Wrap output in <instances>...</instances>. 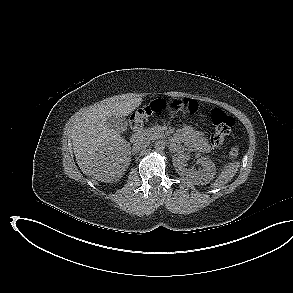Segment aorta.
<instances>
[{"label":"aorta","mask_w":293,"mask_h":293,"mask_svg":"<svg viewBox=\"0 0 293 293\" xmlns=\"http://www.w3.org/2000/svg\"><path fill=\"white\" fill-rule=\"evenodd\" d=\"M164 148H165V143H164V141L159 140V141H156V142H155V149H156L157 151H162V150H164Z\"/></svg>","instance_id":"1"}]
</instances>
